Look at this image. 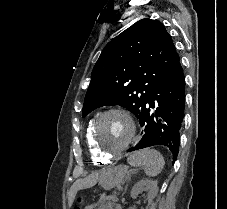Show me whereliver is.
<instances>
[{"label": "liver", "instance_id": "obj_1", "mask_svg": "<svg viewBox=\"0 0 227 209\" xmlns=\"http://www.w3.org/2000/svg\"><path fill=\"white\" fill-rule=\"evenodd\" d=\"M73 187H74V185H73ZM73 187H72V189H73ZM72 189H71V191L69 193V197H68L69 207H71V205H72V203L74 201V197L76 195V193H73Z\"/></svg>", "mask_w": 227, "mask_h": 209}]
</instances>
